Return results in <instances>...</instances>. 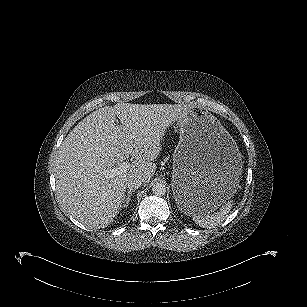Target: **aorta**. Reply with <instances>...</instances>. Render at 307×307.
I'll return each instance as SVG.
<instances>
[{
  "label": "aorta",
  "mask_w": 307,
  "mask_h": 307,
  "mask_svg": "<svg viewBox=\"0 0 307 307\" xmlns=\"http://www.w3.org/2000/svg\"><path fill=\"white\" fill-rule=\"evenodd\" d=\"M152 192L155 196H163L166 193V187L161 182H156L152 187Z\"/></svg>",
  "instance_id": "aorta-1"
}]
</instances>
